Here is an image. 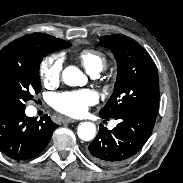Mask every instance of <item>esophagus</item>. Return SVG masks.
<instances>
[{
	"label": "esophagus",
	"mask_w": 183,
	"mask_h": 183,
	"mask_svg": "<svg viewBox=\"0 0 183 183\" xmlns=\"http://www.w3.org/2000/svg\"><path fill=\"white\" fill-rule=\"evenodd\" d=\"M63 122L64 123H74V122H76V120L73 118L65 117V118H63Z\"/></svg>",
	"instance_id": "esophagus-1"
}]
</instances>
